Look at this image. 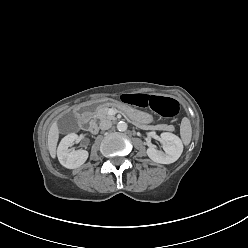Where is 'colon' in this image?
I'll use <instances>...</instances> for the list:
<instances>
[{
    "label": "colon",
    "instance_id": "obj_1",
    "mask_svg": "<svg viewBox=\"0 0 248 248\" xmlns=\"http://www.w3.org/2000/svg\"><path fill=\"white\" fill-rule=\"evenodd\" d=\"M121 99L124 103L150 107L163 117H174L179 110L176 100L163 96H149L147 94H123Z\"/></svg>",
    "mask_w": 248,
    "mask_h": 248
}]
</instances>
